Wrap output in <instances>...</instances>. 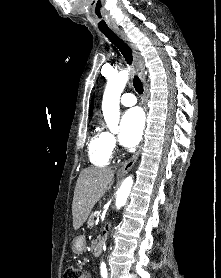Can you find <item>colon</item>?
<instances>
[{
    "label": "colon",
    "instance_id": "colon-1",
    "mask_svg": "<svg viewBox=\"0 0 221 278\" xmlns=\"http://www.w3.org/2000/svg\"><path fill=\"white\" fill-rule=\"evenodd\" d=\"M64 278H84V272L78 266H69L65 271Z\"/></svg>",
    "mask_w": 221,
    "mask_h": 278
}]
</instances>
